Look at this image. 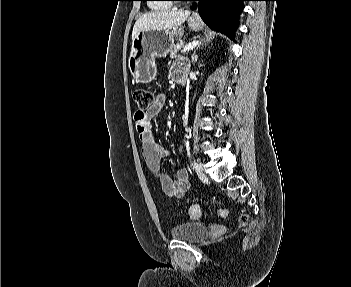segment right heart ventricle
<instances>
[{"mask_svg":"<svg viewBox=\"0 0 351 287\" xmlns=\"http://www.w3.org/2000/svg\"><path fill=\"white\" fill-rule=\"evenodd\" d=\"M149 6L155 11L164 10L167 8L164 3H161V0H151V4H149Z\"/></svg>","mask_w":351,"mask_h":287,"instance_id":"1","label":"right heart ventricle"}]
</instances>
